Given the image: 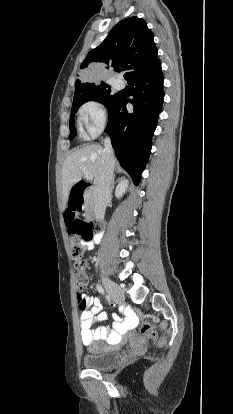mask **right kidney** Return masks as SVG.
Segmentation results:
<instances>
[{
  "mask_svg": "<svg viewBox=\"0 0 233 414\" xmlns=\"http://www.w3.org/2000/svg\"><path fill=\"white\" fill-rule=\"evenodd\" d=\"M128 180L126 179H121L119 184L116 187L115 190V196L119 199L120 197H122V195L125 193L126 189L128 188Z\"/></svg>",
  "mask_w": 233,
  "mask_h": 414,
  "instance_id": "obj_1",
  "label": "right kidney"
}]
</instances>
